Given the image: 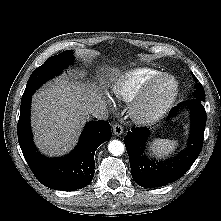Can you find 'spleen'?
Instances as JSON below:
<instances>
[{"label": "spleen", "mask_w": 221, "mask_h": 221, "mask_svg": "<svg viewBox=\"0 0 221 221\" xmlns=\"http://www.w3.org/2000/svg\"><path fill=\"white\" fill-rule=\"evenodd\" d=\"M177 142L169 139H154L150 143L152 153L157 157H167L175 151Z\"/></svg>", "instance_id": "obj_1"}]
</instances>
